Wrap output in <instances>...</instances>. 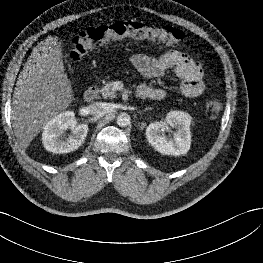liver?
Returning <instances> with one entry per match:
<instances>
[{
    "instance_id": "obj_1",
    "label": "liver",
    "mask_w": 263,
    "mask_h": 263,
    "mask_svg": "<svg viewBox=\"0 0 263 263\" xmlns=\"http://www.w3.org/2000/svg\"><path fill=\"white\" fill-rule=\"evenodd\" d=\"M72 100L61 41L49 36L33 49L14 90L12 120L20 147L27 148L48 121L68 108Z\"/></svg>"
}]
</instances>
